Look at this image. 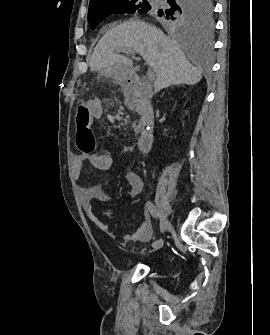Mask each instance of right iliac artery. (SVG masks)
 <instances>
[{
	"label": "right iliac artery",
	"mask_w": 270,
	"mask_h": 335,
	"mask_svg": "<svg viewBox=\"0 0 270 335\" xmlns=\"http://www.w3.org/2000/svg\"><path fill=\"white\" fill-rule=\"evenodd\" d=\"M146 207H147V209L149 210V212L151 213V215L153 217L157 218L159 216L158 211H157L156 207L154 206V204L152 202L147 201L146 202ZM162 245H163V240L162 239L156 240L152 243V247L155 248V249L161 248Z\"/></svg>",
	"instance_id": "1"
}]
</instances>
